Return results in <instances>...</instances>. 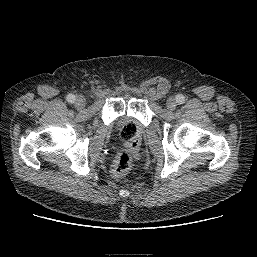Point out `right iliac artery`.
<instances>
[{
    "label": "right iliac artery",
    "mask_w": 257,
    "mask_h": 257,
    "mask_svg": "<svg viewBox=\"0 0 257 257\" xmlns=\"http://www.w3.org/2000/svg\"><path fill=\"white\" fill-rule=\"evenodd\" d=\"M67 101H68L69 103H74V101H75V95L69 94V95L67 96Z\"/></svg>",
    "instance_id": "obj_1"
}]
</instances>
